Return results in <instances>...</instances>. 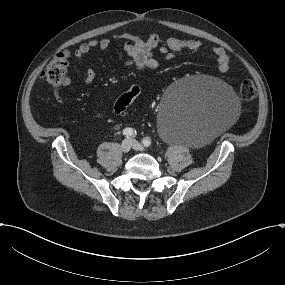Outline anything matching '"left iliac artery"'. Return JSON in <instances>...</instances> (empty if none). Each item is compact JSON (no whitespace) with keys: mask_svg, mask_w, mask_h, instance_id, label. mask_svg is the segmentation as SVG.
Wrapping results in <instances>:
<instances>
[{"mask_svg":"<svg viewBox=\"0 0 285 285\" xmlns=\"http://www.w3.org/2000/svg\"><path fill=\"white\" fill-rule=\"evenodd\" d=\"M142 143L144 144V146L149 147L151 145V140L150 138L146 137L143 139Z\"/></svg>","mask_w":285,"mask_h":285,"instance_id":"left-iliac-artery-1","label":"left iliac artery"}]
</instances>
